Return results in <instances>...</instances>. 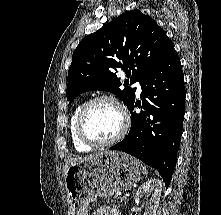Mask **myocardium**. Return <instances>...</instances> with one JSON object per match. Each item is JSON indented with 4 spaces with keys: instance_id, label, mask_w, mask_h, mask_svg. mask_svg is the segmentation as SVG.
<instances>
[{
    "instance_id": "1",
    "label": "myocardium",
    "mask_w": 221,
    "mask_h": 215,
    "mask_svg": "<svg viewBox=\"0 0 221 215\" xmlns=\"http://www.w3.org/2000/svg\"><path fill=\"white\" fill-rule=\"evenodd\" d=\"M101 101H109L112 104H114L116 108L118 109L121 115V119H122V125L118 133L114 137L107 139V140L93 139L85 131V119H86L89 109L94 104L101 102ZM129 125H130V120L122 104L115 97L104 94V95L93 97L82 104L76 117V134L79 140L88 146L105 147V146L113 145L117 143L118 141H120L126 135L129 129Z\"/></svg>"
}]
</instances>
